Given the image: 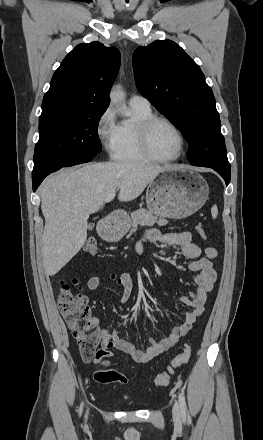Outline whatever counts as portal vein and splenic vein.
<instances>
[{
  "instance_id": "portal-vein-and-splenic-vein-1",
  "label": "portal vein and splenic vein",
  "mask_w": 263,
  "mask_h": 440,
  "mask_svg": "<svg viewBox=\"0 0 263 440\" xmlns=\"http://www.w3.org/2000/svg\"><path fill=\"white\" fill-rule=\"evenodd\" d=\"M115 195H116V192H115V191L112 192V193H110V194L105 198V202L108 203V202L112 201V200L114 199Z\"/></svg>"
}]
</instances>
